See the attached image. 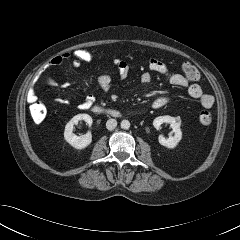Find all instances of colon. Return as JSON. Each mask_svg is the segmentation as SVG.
<instances>
[{
  "label": "colon",
  "mask_w": 240,
  "mask_h": 240,
  "mask_svg": "<svg viewBox=\"0 0 240 240\" xmlns=\"http://www.w3.org/2000/svg\"><path fill=\"white\" fill-rule=\"evenodd\" d=\"M68 60L73 66L78 67L84 63L92 62L96 59V55L86 48L75 49L67 53ZM185 77L189 81H196L199 78L198 70L190 63L182 66ZM31 117L35 122H41L46 116V107L40 102H32L29 106ZM212 114L208 110H203L199 114V122L202 125H209L212 122Z\"/></svg>",
  "instance_id": "1"
}]
</instances>
